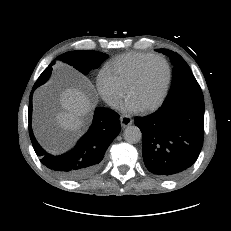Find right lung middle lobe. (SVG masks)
Masks as SVG:
<instances>
[{"instance_id":"1","label":"right lung middle lobe","mask_w":231,"mask_h":231,"mask_svg":"<svg viewBox=\"0 0 231 231\" xmlns=\"http://www.w3.org/2000/svg\"><path fill=\"white\" fill-rule=\"evenodd\" d=\"M106 58V54L92 50L71 51L58 57V59L73 66L85 75H87L92 69H97ZM54 64L55 62L50 63V65L43 71L34 84L33 89H36L49 79Z\"/></svg>"}]
</instances>
